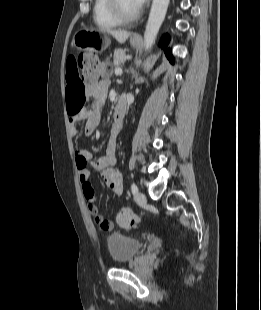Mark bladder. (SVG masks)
I'll return each instance as SVG.
<instances>
[{"label":"bladder","mask_w":261,"mask_h":310,"mask_svg":"<svg viewBox=\"0 0 261 310\" xmlns=\"http://www.w3.org/2000/svg\"><path fill=\"white\" fill-rule=\"evenodd\" d=\"M106 243L110 257L116 264L132 260L142 248L140 239L120 232L108 235Z\"/></svg>","instance_id":"31cf9c89"}]
</instances>
